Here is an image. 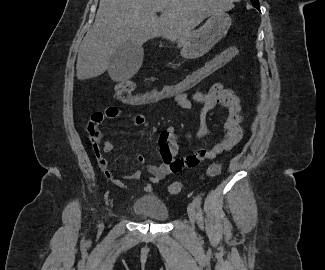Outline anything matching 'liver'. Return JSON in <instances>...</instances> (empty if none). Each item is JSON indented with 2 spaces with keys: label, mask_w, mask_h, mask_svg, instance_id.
<instances>
[{
  "label": "liver",
  "mask_w": 325,
  "mask_h": 270,
  "mask_svg": "<svg viewBox=\"0 0 325 270\" xmlns=\"http://www.w3.org/2000/svg\"><path fill=\"white\" fill-rule=\"evenodd\" d=\"M158 8L163 9L160 17ZM232 8L230 0H100L78 52L77 78L103 74L111 55L127 41L142 46L154 37L187 38L205 18Z\"/></svg>",
  "instance_id": "6515ba94"
}]
</instances>
